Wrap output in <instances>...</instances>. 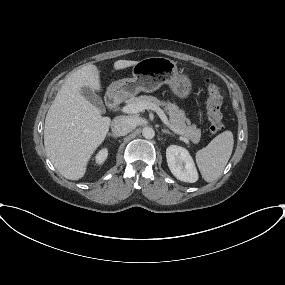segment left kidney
Listing matches in <instances>:
<instances>
[{
	"label": "left kidney",
	"instance_id": "1",
	"mask_svg": "<svg viewBox=\"0 0 285 285\" xmlns=\"http://www.w3.org/2000/svg\"><path fill=\"white\" fill-rule=\"evenodd\" d=\"M167 164L172 174L183 182L194 183L198 180V172L188 150L171 145L166 149Z\"/></svg>",
	"mask_w": 285,
	"mask_h": 285
}]
</instances>
